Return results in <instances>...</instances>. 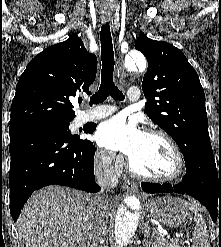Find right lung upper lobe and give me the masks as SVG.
Segmentation results:
<instances>
[{
    "instance_id": "1",
    "label": "right lung upper lobe",
    "mask_w": 221,
    "mask_h": 247,
    "mask_svg": "<svg viewBox=\"0 0 221 247\" xmlns=\"http://www.w3.org/2000/svg\"><path fill=\"white\" fill-rule=\"evenodd\" d=\"M96 72L97 58L78 36L49 46L30 61L18 81L9 129L72 121L69 97L89 94Z\"/></svg>"
}]
</instances>
